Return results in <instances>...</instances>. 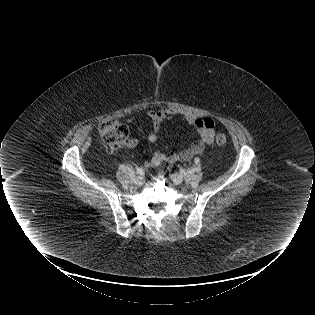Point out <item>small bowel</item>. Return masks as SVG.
I'll use <instances>...</instances> for the list:
<instances>
[{
  "label": "small bowel",
  "mask_w": 315,
  "mask_h": 315,
  "mask_svg": "<svg viewBox=\"0 0 315 315\" xmlns=\"http://www.w3.org/2000/svg\"><path fill=\"white\" fill-rule=\"evenodd\" d=\"M177 115L176 111L163 107L156 111H148L145 116L152 122L153 131L148 134L147 139L150 143H156L158 141V133L160 131L161 124L166 120H171ZM184 120L189 125L193 126L198 135V139L191 144L187 149L179 152H164L157 150L153 153L150 160L145 162L146 168L156 167L163 162L175 163L181 161H188L194 157L203 155L207 147L214 141V121L210 118H197L192 115L184 117ZM138 140L135 138L128 139L126 146L133 148L137 146Z\"/></svg>",
  "instance_id": "obj_1"
}]
</instances>
